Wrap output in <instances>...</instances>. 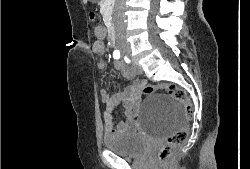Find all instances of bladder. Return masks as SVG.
<instances>
[{"label": "bladder", "mask_w": 250, "mask_h": 169, "mask_svg": "<svg viewBox=\"0 0 250 169\" xmlns=\"http://www.w3.org/2000/svg\"><path fill=\"white\" fill-rule=\"evenodd\" d=\"M143 134L140 133H109L104 137L103 144L107 151L117 153L121 157H139L148 150Z\"/></svg>", "instance_id": "bladder-1"}]
</instances>
